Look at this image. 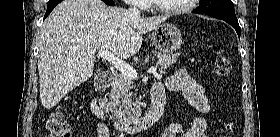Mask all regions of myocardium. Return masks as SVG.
<instances>
[{"label": "myocardium", "mask_w": 280, "mask_h": 137, "mask_svg": "<svg viewBox=\"0 0 280 137\" xmlns=\"http://www.w3.org/2000/svg\"><path fill=\"white\" fill-rule=\"evenodd\" d=\"M152 8L156 11L165 13V14H179L188 11L191 9V4L195 2V0H185V3L178 7L173 8H163L156 3L155 0H149Z\"/></svg>", "instance_id": "1"}]
</instances>
